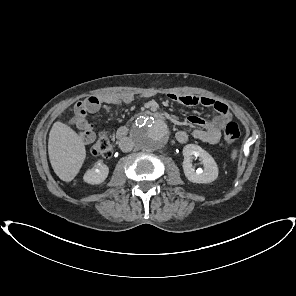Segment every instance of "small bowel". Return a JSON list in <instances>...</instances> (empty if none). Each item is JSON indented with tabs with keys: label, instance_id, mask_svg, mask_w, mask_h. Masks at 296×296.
I'll use <instances>...</instances> for the list:
<instances>
[{
	"label": "small bowel",
	"instance_id": "obj_1",
	"mask_svg": "<svg viewBox=\"0 0 296 296\" xmlns=\"http://www.w3.org/2000/svg\"><path fill=\"white\" fill-rule=\"evenodd\" d=\"M168 97L170 100L180 104L188 106L201 105L213 108L217 112V116L212 120H206L195 115L188 117L187 121L191 129H182L176 133V139L179 143L185 144L192 137L205 144H215L221 137L223 127L232 119L230 108L226 104L212 98L177 93H171ZM131 100L132 96L129 94L103 93L79 102L75 107V124L80 139L85 144H90L96 137L93 125L86 118L87 114L96 113L109 105L129 103ZM79 107L83 108L84 112H78Z\"/></svg>",
	"mask_w": 296,
	"mask_h": 296
}]
</instances>
